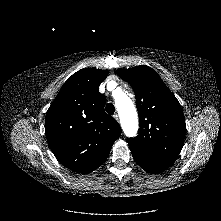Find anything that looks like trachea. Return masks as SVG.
Here are the masks:
<instances>
[{"instance_id":"obj_1","label":"trachea","mask_w":221,"mask_h":221,"mask_svg":"<svg viewBox=\"0 0 221 221\" xmlns=\"http://www.w3.org/2000/svg\"><path fill=\"white\" fill-rule=\"evenodd\" d=\"M106 112H107L108 114H110V115L114 114V112H115V107H114V105H113L112 103H108V104L106 105Z\"/></svg>"}]
</instances>
